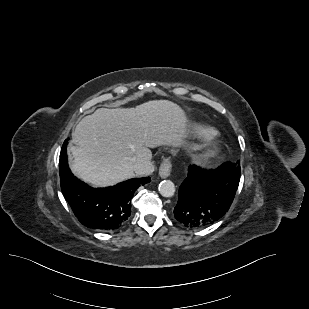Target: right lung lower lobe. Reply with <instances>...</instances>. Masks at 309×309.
Returning <instances> with one entry per match:
<instances>
[{"label":"right lung lower lobe","mask_w":309,"mask_h":309,"mask_svg":"<svg viewBox=\"0 0 309 309\" xmlns=\"http://www.w3.org/2000/svg\"><path fill=\"white\" fill-rule=\"evenodd\" d=\"M65 140L59 160L62 193L75 216L86 227L110 231L121 227L131 214V198L149 177L124 181L113 187L92 188L77 179L67 163Z\"/></svg>","instance_id":"98d812e1"}]
</instances>
